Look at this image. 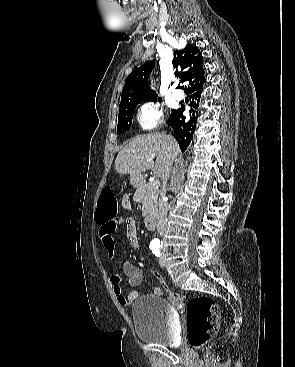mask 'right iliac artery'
I'll return each instance as SVG.
<instances>
[{"label":"right iliac artery","mask_w":295,"mask_h":367,"mask_svg":"<svg viewBox=\"0 0 295 367\" xmlns=\"http://www.w3.org/2000/svg\"><path fill=\"white\" fill-rule=\"evenodd\" d=\"M151 249L155 248V246L150 247Z\"/></svg>","instance_id":"82829eb1"}]
</instances>
